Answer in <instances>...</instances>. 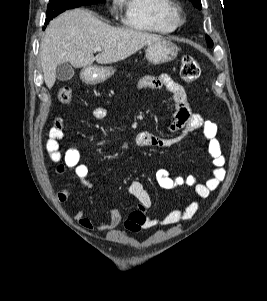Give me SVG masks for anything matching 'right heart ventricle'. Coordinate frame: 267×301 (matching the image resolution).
I'll list each match as a JSON object with an SVG mask.
<instances>
[{
  "mask_svg": "<svg viewBox=\"0 0 267 301\" xmlns=\"http://www.w3.org/2000/svg\"><path fill=\"white\" fill-rule=\"evenodd\" d=\"M123 11V24L133 30L170 33L177 24L170 16L171 0H116Z\"/></svg>",
  "mask_w": 267,
  "mask_h": 301,
  "instance_id": "1",
  "label": "right heart ventricle"
}]
</instances>
